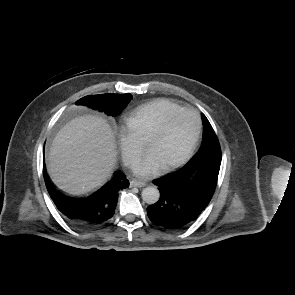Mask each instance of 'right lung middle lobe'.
<instances>
[{"instance_id": "1", "label": "right lung middle lobe", "mask_w": 295, "mask_h": 295, "mask_svg": "<svg viewBox=\"0 0 295 295\" xmlns=\"http://www.w3.org/2000/svg\"><path fill=\"white\" fill-rule=\"evenodd\" d=\"M131 100V94H101L83 97L76 104L86 105L94 110H99L109 116L116 117Z\"/></svg>"}]
</instances>
